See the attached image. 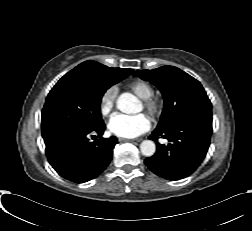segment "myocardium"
Masks as SVG:
<instances>
[{
	"mask_svg": "<svg viewBox=\"0 0 252 231\" xmlns=\"http://www.w3.org/2000/svg\"><path fill=\"white\" fill-rule=\"evenodd\" d=\"M144 107L152 117H157L162 112L163 102L160 99L151 97L144 100Z\"/></svg>",
	"mask_w": 252,
	"mask_h": 231,
	"instance_id": "obj_1",
	"label": "myocardium"
}]
</instances>
